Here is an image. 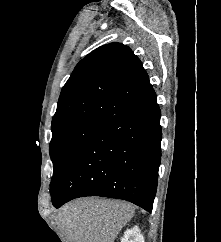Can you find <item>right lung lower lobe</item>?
I'll return each mask as SVG.
<instances>
[{"label":"right lung lower lobe","mask_w":221,"mask_h":242,"mask_svg":"<svg viewBox=\"0 0 221 242\" xmlns=\"http://www.w3.org/2000/svg\"><path fill=\"white\" fill-rule=\"evenodd\" d=\"M161 111L153 88L102 121L50 190L52 203L84 196L130 201L152 211L161 161Z\"/></svg>","instance_id":"1"}]
</instances>
